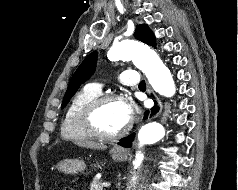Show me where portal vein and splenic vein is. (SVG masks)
<instances>
[{
	"label": "portal vein and splenic vein",
	"instance_id": "portal-vein-and-splenic-vein-1",
	"mask_svg": "<svg viewBox=\"0 0 238 190\" xmlns=\"http://www.w3.org/2000/svg\"><path fill=\"white\" fill-rule=\"evenodd\" d=\"M110 185H111V184H110V183H107V182L102 184L103 187H109Z\"/></svg>",
	"mask_w": 238,
	"mask_h": 190
}]
</instances>
